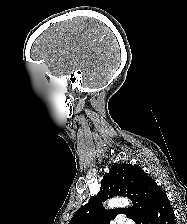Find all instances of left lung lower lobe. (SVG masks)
Here are the masks:
<instances>
[{
	"label": "left lung lower lobe",
	"instance_id": "1",
	"mask_svg": "<svg viewBox=\"0 0 187 224\" xmlns=\"http://www.w3.org/2000/svg\"><path fill=\"white\" fill-rule=\"evenodd\" d=\"M137 224H175V214L166 194L160 189L146 214Z\"/></svg>",
	"mask_w": 187,
	"mask_h": 224
}]
</instances>
